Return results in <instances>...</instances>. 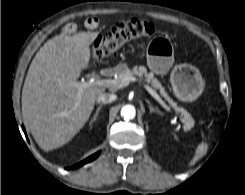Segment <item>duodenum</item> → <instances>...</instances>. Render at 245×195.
<instances>
[{
	"label": "duodenum",
	"instance_id": "410a0bca",
	"mask_svg": "<svg viewBox=\"0 0 245 195\" xmlns=\"http://www.w3.org/2000/svg\"><path fill=\"white\" fill-rule=\"evenodd\" d=\"M115 70L113 68H106L104 71H103V74L107 77H110L114 74Z\"/></svg>",
	"mask_w": 245,
	"mask_h": 195
}]
</instances>
